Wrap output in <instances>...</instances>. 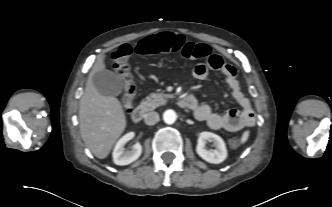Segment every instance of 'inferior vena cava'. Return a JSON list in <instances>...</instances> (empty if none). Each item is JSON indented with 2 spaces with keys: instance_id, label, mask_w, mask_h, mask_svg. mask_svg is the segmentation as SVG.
Instances as JSON below:
<instances>
[{
  "instance_id": "inferior-vena-cava-1",
  "label": "inferior vena cava",
  "mask_w": 332,
  "mask_h": 207,
  "mask_svg": "<svg viewBox=\"0 0 332 207\" xmlns=\"http://www.w3.org/2000/svg\"><path fill=\"white\" fill-rule=\"evenodd\" d=\"M159 120V114L157 112H149L145 116V123L147 125H154Z\"/></svg>"
}]
</instances>
